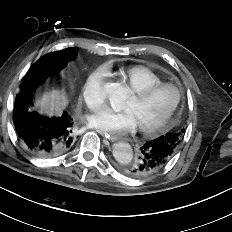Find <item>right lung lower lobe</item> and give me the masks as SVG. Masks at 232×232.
<instances>
[{"label":"right lung lower lobe","mask_w":232,"mask_h":232,"mask_svg":"<svg viewBox=\"0 0 232 232\" xmlns=\"http://www.w3.org/2000/svg\"><path fill=\"white\" fill-rule=\"evenodd\" d=\"M35 88H20L13 110L15 130L21 145L31 154L56 157L68 151L73 143V121L67 112L49 118L30 110Z\"/></svg>","instance_id":"98d812e1"}]
</instances>
